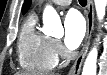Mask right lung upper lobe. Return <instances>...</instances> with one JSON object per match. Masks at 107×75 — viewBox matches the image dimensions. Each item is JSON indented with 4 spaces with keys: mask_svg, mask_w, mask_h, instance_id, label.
Segmentation results:
<instances>
[{
    "mask_svg": "<svg viewBox=\"0 0 107 75\" xmlns=\"http://www.w3.org/2000/svg\"><path fill=\"white\" fill-rule=\"evenodd\" d=\"M31 5V0H25L23 8H22V13L25 14L27 10L29 9Z\"/></svg>",
    "mask_w": 107,
    "mask_h": 75,
    "instance_id": "obj_1",
    "label": "right lung upper lobe"
}]
</instances>
